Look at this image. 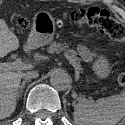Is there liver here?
I'll return each instance as SVG.
<instances>
[{
	"label": "liver",
	"mask_w": 125,
	"mask_h": 125,
	"mask_svg": "<svg viewBox=\"0 0 125 125\" xmlns=\"http://www.w3.org/2000/svg\"><path fill=\"white\" fill-rule=\"evenodd\" d=\"M19 48L17 36L10 31L4 20L0 19V58ZM33 46L27 41L24 50L27 53ZM39 62V59H37ZM22 71L0 70V119L9 117L16 109L17 91L20 86Z\"/></svg>",
	"instance_id": "6515ba94"
}]
</instances>
